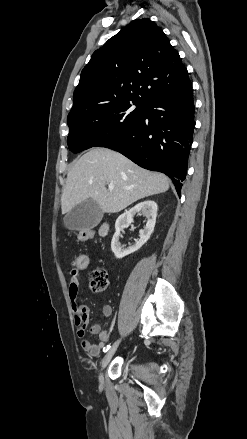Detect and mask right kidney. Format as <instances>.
Returning a JSON list of instances; mask_svg holds the SVG:
<instances>
[{
	"instance_id": "ca27d5eb",
	"label": "right kidney",
	"mask_w": 247,
	"mask_h": 439,
	"mask_svg": "<svg viewBox=\"0 0 247 439\" xmlns=\"http://www.w3.org/2000/svg\"><path fill=\"white\" fill-rule=\"evenodd\" d=\"M158 206L155 201L147 200L138 203L130 210L121 214L115 223V233L111 242V249L116 258L121 259L138 249H140L150 238L151 234L154 231L156 217H157ZM142 213L143 216L147 218V224L143 230H140V239L139 241L129 248H124L119 242L120 231L129 226L133 222V217L137 213Z\"/></svg>"
}]
</instances>
